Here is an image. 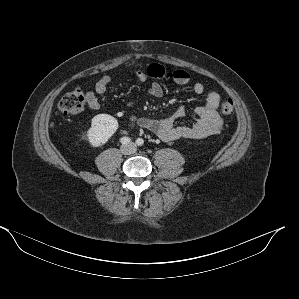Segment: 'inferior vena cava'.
<instances>
[{
  "label": "inferior vena cava",
  "mask_w": 299,
  "mask_h": 299,
  "mask_svg": "<svg viewBox=\"0 0 299 299\" xmlns=\"http://www.w3.org/2000/svg\"><path fill=\"white\" fill-rule=\"evenodd\" d=\"M133 150L135 151V150H136V148H135V147H133Z\"/></svg>",
  "instance_id": "1"
}]
</instances>
